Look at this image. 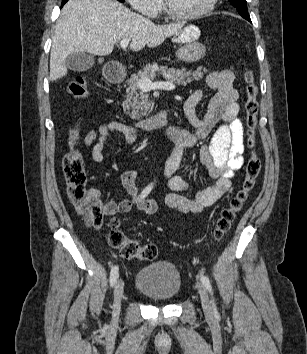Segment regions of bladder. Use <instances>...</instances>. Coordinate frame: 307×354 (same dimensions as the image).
<instances>
[{
  "instance_id": "bladder-1",
  "label": "bladder",
  "mask_w": 307,
  "mask_h": 354,
  "mask_svg": "<svg viewBox=\"0 0 307 354\" xmlns=\"http://www.w3.org/2000/svg\"><path fill=\"white\" fill-rule=\"evenodd\" d=\"M182 285L178 269L170 262H154L141 268L136 275L137 289L156 302L173 300Z\"/></svg>"
}]
</instances>
